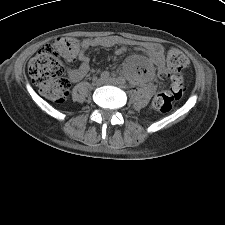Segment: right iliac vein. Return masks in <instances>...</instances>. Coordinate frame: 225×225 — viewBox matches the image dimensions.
Segmentation results:
<instances>
[{
	"label": "right iliac vein",
	"mask_w": 225,
	"mask_h": 225,
	"mask_svg": "<svg viewBox=\"0 0 225 225\" xmlns=\"http://www.w3.org/2000/svg\"><path fill=\"white\" fill-rule=\"evenodd\" d=\"M104 79H102V78H99V79H97V81H96V85L97 86H100V85H102V84H104Z\"/></svg>",
	"instance_id": "1"
}]
</instances>
